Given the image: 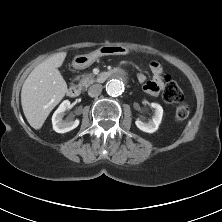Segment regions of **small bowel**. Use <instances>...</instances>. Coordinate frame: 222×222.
<instances>
[{
    "instance_id": "1",
    "label": "small bowel",
    "mask_w": 222,
    "mask_h": 222,
    "mask_svg": "<svg viewBox=\"0 0 222 222\" xmlns=\"http://www.w3.org/2000/svg\"><path fill=\"white\" fill-rule=\"evenodd\" d=\"M150 70L153 74L151 80L147 81L144 74L138 75V80L140 83L144 84V90L150 95H157L162 90L163 82V68L158 62H152L150 64Z\"/></svg>"
}]
</instances>
